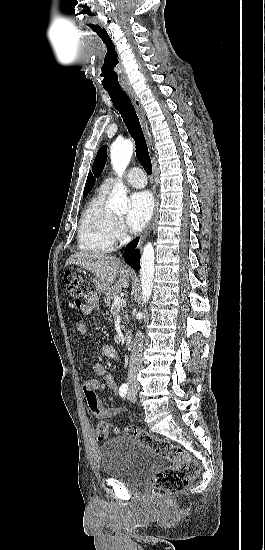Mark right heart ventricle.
<instances>
[{
    "label": "right heart ventricle",
    "mask_w": 265,
    "mask_h": 550,
    "mask_svg": "<svg viewBox=\"0 0 265 550\" xmlns=\"http://www.w3.org/2000/svg\"><path fill=\"white\" fill-rule=\"evenodd\" d=\"M108 192L100 188L82 213L77 235L82 251L108 252L116 241V217L106 206Z\"/></svg>",
    "instance_id": "right-heart-ventricle-1"
}]
</instances>
